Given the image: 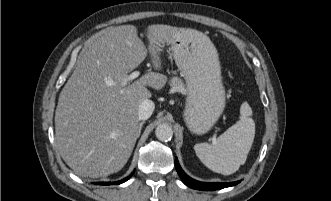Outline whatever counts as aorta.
I'll return each mask as SVG.
<instances>
[{
    "instance_id": "obj_1",
    "label": "aorta",
    "mask_w": 331,
    "mask_h": 201,
    "mask_svg": "<svg viewBox=\"0 0 331 201\" xmlns=\"http://www.w3.org/2000/svg\"><path fill=\"white\" fill-rule=\"evenodd\" d=\"M155 134L158 140L167 142L171 140L173 136V130L169 124L162 123L156 127Z\"/></svg>"
}]
</instances>
